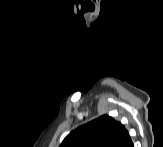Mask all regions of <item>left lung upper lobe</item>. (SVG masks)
Returning a JSON list of instances; mask_svg holds the SVG:
<instances>
[{
  "label": "left lung upper lobe",
  "mask_w": 163,
  "mask_h": 147,
  "mask_svg": "<svg viewBox=\"0 0 163 147\" xmlns=\"http://www.w3.org/2000/svg\"><path fill=\"white\" fill-rule=\"evenodd\" d=\"M124 125L108 115H102L73 130L60 147H116Z\"/></svg>",
  "instance_id": "1"
}]
</instances>
